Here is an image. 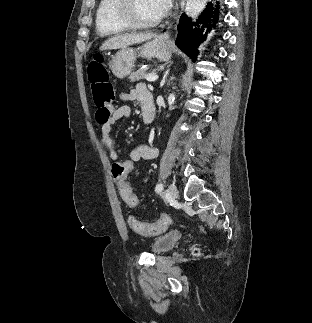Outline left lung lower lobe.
Returning a JSON list of instances; mask_svg holds the SVG:
<instances>
[{"instance_id": "1", "label": "left lung lower lobe", "mask_w": 312, "mask_h": 323, "mask_svg": "<svg viewBox=\"0 0 312 323\" xmlns=\"http://www.w3.org/2000/svg\"><path fill=\"white\" fill-rule=\"evenodd\" d=\"M221 11L220 2L213 0L207 4L206 9L201 13L196 22L182 15L177 27L176 45L190 58L196 59L199 53L198 47L206 41L211 30L218 32L219 23L222 22L219 20Z\"/></svg>"}]
</instances>
